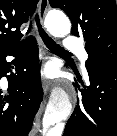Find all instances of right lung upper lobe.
Wrapping results in <instances>:
<instances>
[{
	"mask_svg": "<svg viewBox=\"0 0 117 136\" xmlns=\"http://www.w3.org/2000/svg\"><path fill=\"white\" fill-rule=\"evenodd\" d=\"M39 0H0V54L22 44L20 26L29 20Z\"/></svg>",
	"mask_w": 117,
	"mask_h": 136,
	"instance_id": "right-lung-upper-lobe-1",
	"label": "right lung upper lobe"
}]
</instances>
